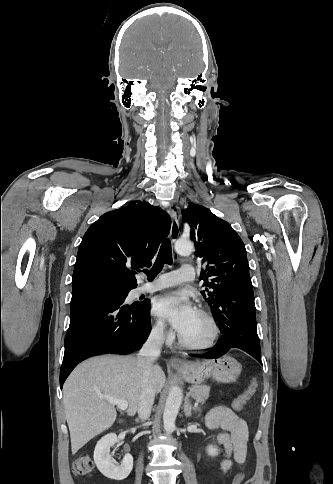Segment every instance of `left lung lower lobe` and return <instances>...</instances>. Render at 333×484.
I'll return each instance as SVG.
<instances>
[{"label": "left lung lower lobe", "mask_w": 333, "mask_h": 484, "mask_svg": "<svg viewBox=\"0 0 333 484\" xmlns=\"http://www.w3.org/2000/svg\"><path fill=\"white\" fill-rule=\"evenodd\" d=\"M212 314L219 323L222 336L206 353L191 356L219 358L230 349L238 348L262 364L249 271L231 275L221 283L218 297L212 307Z\"/></svg>", "instance_id": "left-lung-lower-lobe-1"}]
</instances>
